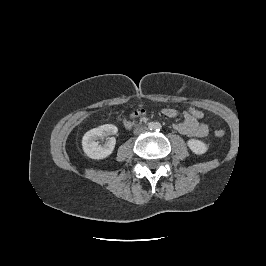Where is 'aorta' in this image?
<instances>
[{
    "instance_id": "aorta-1",
    "label": "aorta",
    "mask_w": 266,
    "mask_h": 266,
    "mask_svg": "<svg viewBox=\"0 0 266 266\" xmlns=\"http://www.w3.org/2000/svg\"><path fill=\"white\" fill-rule=\"evenodd\" d=\"M161 127L160 123H153L151 125V129L153 130H158Z\"/></svg>"
}]
</instances>
